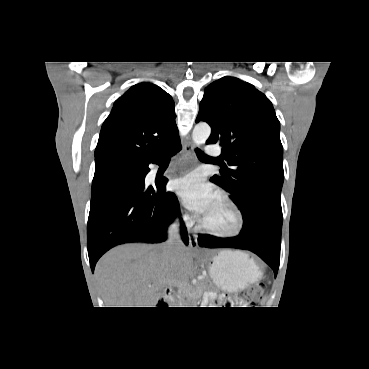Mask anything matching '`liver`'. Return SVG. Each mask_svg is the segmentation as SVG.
<instances>
[{
    "label": "liver",
    "mask_w": 369,
    "mask_h": 369,
    "mask_svg": "<svg viewBox=\"0 0 369 369\" xmlns=\"http://www.w3.org/2000/svg\"><path fill=\"white\" fill-rule=\"evenodd\" d=\"M193 274L189 250L168 255L163 244L118 246L95 268L106 307H156L165 287L186 284Z\"/></svg>",
    "instance_id": "obj_1"
}]
</instances>
